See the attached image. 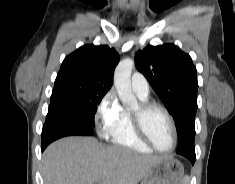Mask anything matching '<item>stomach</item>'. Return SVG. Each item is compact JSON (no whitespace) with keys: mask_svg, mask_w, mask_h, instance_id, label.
I'll return each instance as SVG.
<instances>
[{"mask_svg":"<svg viewBox=\"0 0 235 184\" xmlns=\"http://www.w3.org/2000/svg\"><path fill=\"white\" fill-rule=\"evenodd\" d=\"M183 176L184 166L178 160L164 158L150 168L141 184H181Z\"/></svg>","mask_w":235,"mask_h":184,"instance_id":"obj_1","label":"stomach"}]
</instances>
